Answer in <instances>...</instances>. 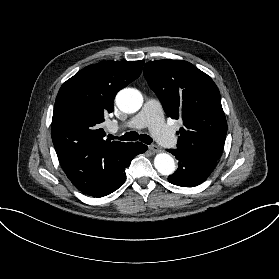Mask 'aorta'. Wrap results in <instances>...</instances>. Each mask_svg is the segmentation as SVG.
Masks as SVG:
<instances>
[{
  "instance_id": "obj_1",
  "label": "aorta",
  "mask_w": 279,
  "mask_h": 279,
  "mask_svg": "<svg viewBox=\"0 0 279 279\" xmlns=\"http://www.w3.org/2000/svg\"><path fill=\"white\" fill-rule=\"evenodd\" d=\"M118 108L125 113L138 111L143 104L142 94L134 88H125L116 96ZM154 166L162 175H171L175 171L174 158L168 153H159L155 156Z\"/></svg>"
}]
</instances>
